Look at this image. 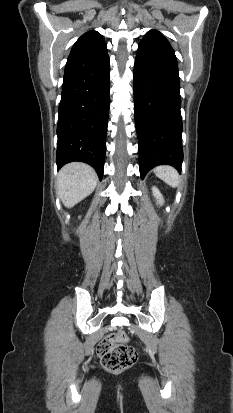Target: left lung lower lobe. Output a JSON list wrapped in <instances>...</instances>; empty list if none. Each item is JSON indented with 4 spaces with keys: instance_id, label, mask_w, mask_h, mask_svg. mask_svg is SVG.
<instances>
[{
    "instance_id": "0a47b994",
    "label": "left lung lower lobe",
    "mask_w": 233,
    "mask_h": 413,
    "mask_svg": "<svg viewBox=\"0 0 233 413\" xmlns=\"http://www.w3.org/2000/svg\"><path fill=\"white\" fill-rule=\"evenodd\" d=\"M133 81L141 177L162 164L181 172L183 127L178 66L174 50L160 32L149 31L139 43Z\"/></svg>"
}]
</instances>
